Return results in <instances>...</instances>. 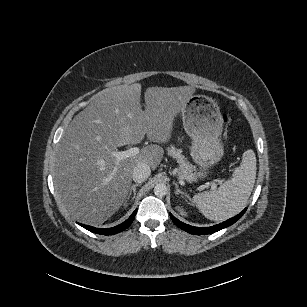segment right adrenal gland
I'll use <instances>...</instances> for the list:
<instances>
[{"instance_id": "right-adrenal-gland-1", "label": "right adrenal gland", "mask_w": 307, "mask_h": 307, "mask_svg": "<svg viewBox=\"0 0 307 307\" xmlns=\"http://www.w3.org/2000/svg\"><path fill=\"white\" fill-rule=\"evenodd\" d=\"M138 186H141V183L133 184V185L131 186V188H130V190H129V194H128V196H127V200L130 199V196H131L132 192H133L132 200L135 199V196H136V187H138ZM127 200L125 201L124 206H127V205H128V204H127Z\"/></svg>"}]
</instances>
